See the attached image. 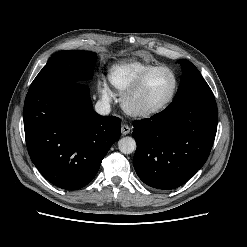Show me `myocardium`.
<instances>
[{
	"mask_svg": "<svg viewBox=\"0 0 247 247\" xmlns=\"http://www.w3.org/2000/svg\"><path fill=\"white\" fill-rule=\"evenodd\" d=\"M165 70L168 71L171 76L173 77V88L168 96V98L163 101L161 104L154 106V107H139L134 104V100L138 92L140 91L142 85L144 84L145 80L148 78L149 75L152 73ZM179 87V82L176 73L168 66L165 65H157L153 66L147 70H145L135 81L134 83L126 90L122 97V106L124 110L135 117H151L157 115L164 111L174 100Z\"/></svg>",
	"mask_w": 247,
	"mask_h": 247,
	"instance_id": "obj_1",
	"label": "myocardium"
}]
</instances>
